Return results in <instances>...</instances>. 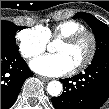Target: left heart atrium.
I'll list each match as a JSON object with an SVG mask.
<instances>
[{
  "label": "left heart atrium",
  "mask_w": 109,
  "mask_h": 109,
  "mask_svg": "<svg viewBox=\"0 0 109 109\" xmlns=\"http://www.w3.org/2000/svg\"><path fill=\"white\" fill-rule=\"evenodd\" d=\"M31 68L46 76H62L73 69L71 62L63 54H46L34 59Z\"/></svg>",
  "instance_id": "39dd6f15"
}]
</instances>
